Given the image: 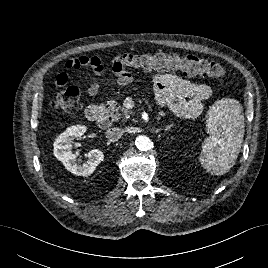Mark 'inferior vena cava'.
<instances>
[{"label": "inferior vena cava", "instance_id": "obj_1", "mask_svg": "<svg viewBox=\"0 0 268 268\" xmlns=\"http://www.w3.org/2000/svg\"><path fill=\"white\" fill-rule=\"evenodd\" d=\"M123 134V131L119 127H111L106 132V138L110 141H118Z\"/></svg>", "mask_w": 268, "mask_h": 268}]
</instances>
